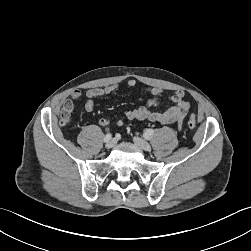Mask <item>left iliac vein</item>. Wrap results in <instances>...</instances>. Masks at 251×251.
I'll return each instance as SVG.
<instances>
[{"mask_svg": "<svg viewBox=\"0 0 251 251\" xmlns=\"http://www.w3.org/2000/svg\"><path fill=\"white\" fill-rule=\"evenodd\" d=\"M133 141L142 150L149 151L151 149L150 144L147 141H145L144 139L140 138V137H137V136L134 137Z\"/></svg>", "mask_w": 251, "mask_h": 251, "instance_id": "4c4485c4", "label": "left iliac vein"}]
</instances>
